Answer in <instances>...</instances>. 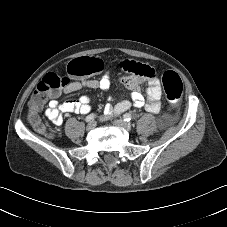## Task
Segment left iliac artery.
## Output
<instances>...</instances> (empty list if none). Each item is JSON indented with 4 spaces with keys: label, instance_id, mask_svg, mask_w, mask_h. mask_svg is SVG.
<instances>
[{
    "label": "left iliac artery",
    "instance_id": "1",
    "mask_svg": "<svg viewBox=\"0 0 227 227\" xmlns=\"http://www.w3.org/2000/svg\"><path fill=\"white\" fill-rule=\"evenodd\" d=\"M123 118H124V121L129 122L132 119V116H131V114L126 113L123 116Z\"/></svg>",
    "mask_w": 227,
    "mask_h": 227
}]
</instances>
